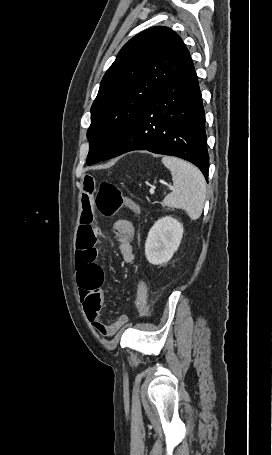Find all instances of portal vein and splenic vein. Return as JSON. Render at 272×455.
I'll list each match as a JSON object with an SVG mask.
<instances>
[{
  "mask_svg": "<svg viewBox=\"0 0 272 455\" xmlns=\"http://www.w3.org/2000/svg\"><path fill=\"white\" fill-rule=\"evenodd\" d=\"M168 188H169V189H173V187H172L171 185H168Z\"/></svg>",
  "mask_w": 272,
  "mask_h": 455,
  "instance_id": "18ae733b",
  "label": "portal vein and splenic vein"
}]
</instances>
